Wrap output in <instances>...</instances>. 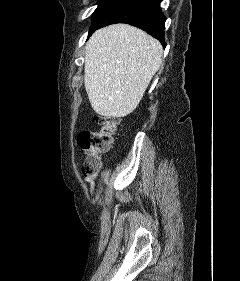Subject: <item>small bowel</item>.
<instances>
[{"mask_svg":"<svg viewBox=\"0 0 240 281\" xmlns=\"http://www.w3.org/2000/svg\"><path fill=\"white\" fill-rule=\"evenodd\" d=\"M94 175H85V180L86 181H92Z\"/></svg>","mask_w":240,"mask_h":281,"instance_id":"obj_1","label":"small bowel"}]
</instances>
